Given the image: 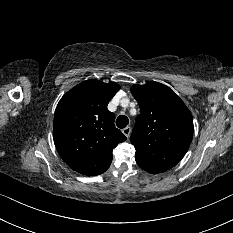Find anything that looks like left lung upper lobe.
<instances>
[{
  "label": "left lung upper lobe",
  "mask_w": 233,
  "mask_h": 233,
  "mask_svg": "<svg viewBox=\"0 0 233 233\" xmlns=\"http://www.w3.org/2000/svg\"><path fill=\"white\" fill-rule=\"evenodd\" d=\"M131 93L140 107L130 138L135 157L171 169L192 141L194 127L189 109L172 89L158 82L134 85Z\"/></svg>",
  "instance_id": "5c2ea615"
}]
</instances>
